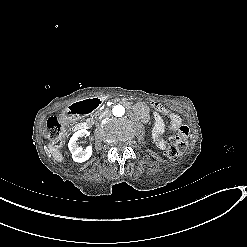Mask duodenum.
I'll list each match as a JSON object with an SVG mask.
<instances>
[{
    "label": "duodenum",
    "mask_w": 247,
    "mask_h": 247,
    "mask_svg": "<svg viewBox=\"0 0 247 247\" xmlns=\"http://www.w3.org/2000/svg\"><path fill=\"white\" fill-rule=\"evenodd\" d=\"M101 99L97 97L87 98L71 104L66 110V116L75 119L81 115L91 113L101 105ZM90 127V123L82 121L77 124V130H86Z\"/></svg>",
    "instance_id": "obj_1"
}]
</instances>
